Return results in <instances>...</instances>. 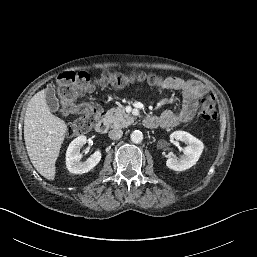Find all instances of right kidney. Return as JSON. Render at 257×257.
Returning <instances> with one entry per match:
<instances>
[{"label": "right kidney", "mask_w": 257, "mask_h": 257, "mask_svg": "<svg viewBox=\"0 0 257 257\" xmlns=\"http://www.w3.org/2000/svg\"><path fill=\"white\" fill-rule=\"evenodd\" d=\"M86 136L75 138L68 146L66 152V167L69 172L82 174L92 170L101 160V151L96 150L85 162H81L80 149L86 144Z\"/></svg>", "instance_id": "1"}]
</instances>
